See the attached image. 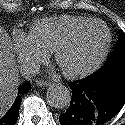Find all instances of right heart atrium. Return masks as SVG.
I'll return each mask as SVG.
<instances>
[{
  "mask_svg": "<svg viewBox=\"0 0 125 125\" xmlns=\"http://www.w3.org/2000/svg\"><path fill=\"white\" fill-rule=\"evenodd\" d=\"M13 49L26 72H33L48 53L41 50L29 33L18 32L13 36Z\"/></svg>",
  "mask_w": 125,
  "mask_h": 125,
  "instance_id": "d8ad5b80",
  "label": "right heart atrium"
}]
</instances>
